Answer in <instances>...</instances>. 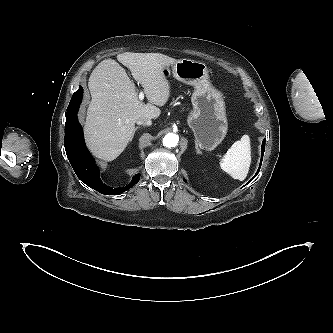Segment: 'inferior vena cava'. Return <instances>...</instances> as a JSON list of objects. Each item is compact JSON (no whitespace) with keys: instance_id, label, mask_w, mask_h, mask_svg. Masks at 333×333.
<instances>
[{"instance_id":"inferior-vena-cava-1","label":"inferior vena cava","mask_w":333,"mask_h":333,"mask_svg":"<svg viewBox=\"0 0 333 333\" xmlns=\"http://www.w3.org/2000/svg\"><path fill=\"white\" fill-rule=\"evenodd\" d=\"M136 123L138 125L150 126L152 124V121L149 118L141 117L136 121Z\"/></svg>"}]
</instances>
